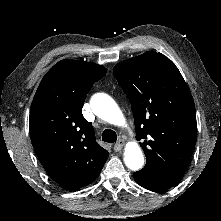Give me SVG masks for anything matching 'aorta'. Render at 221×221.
<instances>
[{"mask_svg":"<svg viewBox=\"0 0 221 221\" xmlns=\"http://www.w3.org/2000/svg\"><path fill=\"white\" fill-rule=\"evenodd\" d=\"M90 105L93 113L102 120L116 126L124 125V115L117 103L109 95L104 93L93 95ZM124 162L133 171H137L143 167L144 156L140 146L136 142H130L126 145Z\"/></svg>","mask_w":221,"mask_h":221,"instance_id":"aorta-1","label":"aorta"}]
</instances>
